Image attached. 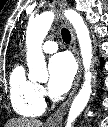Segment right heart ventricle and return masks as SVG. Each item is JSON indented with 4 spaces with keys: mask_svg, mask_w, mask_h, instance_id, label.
Wrapping results in <instances>:
<instances>
[{
    "mask_svg": "<svg viewBox=\"0 0 108 127\" xmlns=\"http://www.w3.org/2000/svg\"><path fill=\"white\" fill-rule=\"evenodd\" d=\"M9 98L13 110L24 117L39 116L45 108L38 85L26 76L21 64L15 65L10 73Z\"/></svg>",
    "mask_w": 108,
    "mask_h": 127,
    "instance_id": "right-heart-ventricle-1",
    "label": "right heart ventricle"
}]
</instances>
